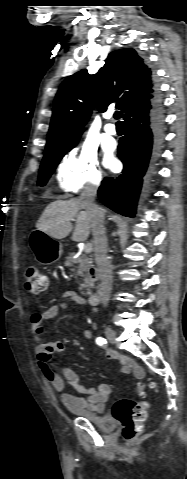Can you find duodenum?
<instances>
[{
  "instance_id": "obj_1",
  "label": "duodenum",
  "mask_w": 187,
  "mask_h": 479,
  "mask_svg": "<svg viewBox=\"0 0 187 479\" xmlns=\"http://www.w3.org/2000/svg\"><path fill=\"white\" fill-rule=\"evenodd\" d=\"M87 297L90 305H95L98 303L99 296L96 292H88Z\"/></svg>"
}]
</instances>
